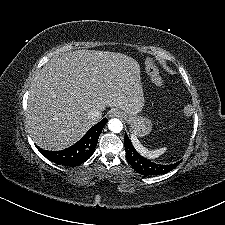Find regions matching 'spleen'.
<instances>
[{
  "instance_id": "obj_1",
  "label": "spleen",
  "mask_w": 225,
  "mask_h": 225,
  "mask_svg": "<svg viewBox=\"0 0 225 225\" xmlns=\"http://www.w3.org/2000/svg\"><path fill=\"white\" fill-rule=\"evenodd\" d=\"M131 142L135 149L144 157L147 159H155L158 158L160 155H162L165 151L166 148H160L156 150H149L146 147H144L140 141L138 140L137 136L135 134H131L130 136Z\"/></svg>"
}]
</instances>
